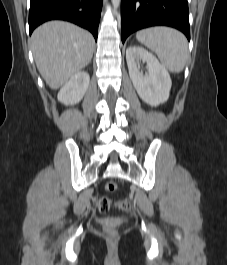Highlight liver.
<instances>
[{
    "label": "liver",
    "instance_id": "1",
    "mask_svg": "<svg viewBox=\"0 0 227 265\" xmlns=\"http://www.w3.org/2000/svg\"><path fill=\"white\" fill-rule=\"evenodd\" d=\"M30 42L37 69L53 90L91 61L95 43L91 33L65 21L42 24Z\"/></svg>",
    "mask_w": 227,
    "mask_h": 265
}]
</instances>
